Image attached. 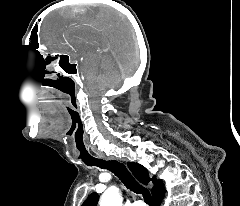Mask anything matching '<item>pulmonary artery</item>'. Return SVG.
Listing matches in <instances>:
<instances>
[{
    "mask_svg": "<svg viewBox=\"0 0 240 206\" xmlns=\"http://www.w3.org/2000/svg\"><path fill=\"white\" fill-rule=\"evenodd\" d=\"M131 206H146V205L141 201H135L131 204Z\"/></svg>",
    "mask_w": 240,
    "mask_h": 206,
    "instance_id": "obj_1",
    "label": "pulmonary artery"
}]
</instances>
